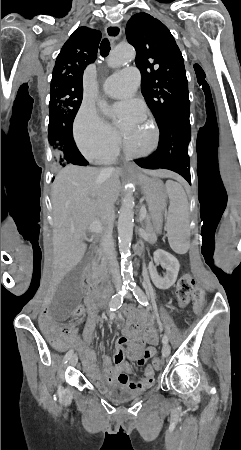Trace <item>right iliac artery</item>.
<instances>
[{
  "mask_svg": "<svg viewBox=\"0 0 241 450\" xmlns=\"http://www.w3.org/2000/svg\"><path fill=\"white\" fill-rule=\"evenodd\" d=\"M129 287L123 286L115 295L112 296V299L110 301V311H115L118 309L121 304L123 303V298L128 292ZM74 351L70 350L66 353V359H70L73 355ZM64 393V390L61 385L58 387V394L62 395Z\"/></svg>",
  "mask_w": 241,
  "mask_h": 450,
  "instance_id": "right-iliac-artery-1",
  "label": "right iliac artery"
}]
</instances>
